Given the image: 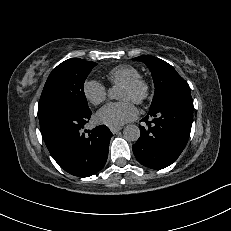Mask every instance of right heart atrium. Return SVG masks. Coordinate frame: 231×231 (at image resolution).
Masks as SVG:
<instances>
[{
    "label": "right heart atrium",
    "instance_id": "obj_1",
    "mask_svg": "<svg viewBox=\"0 0 231 231\" xmlns=\"http://www.w3.org/2000/svg\"><path fill=\"white\" fill-rule=\"evenodd\" d=\"M83 95L86 100L93 105H100L107 99V89L101 82L88 79L82 87Z\"/></svg>",
    "mask_w": 231,
    "mask_h": 231
}]
</instances>
